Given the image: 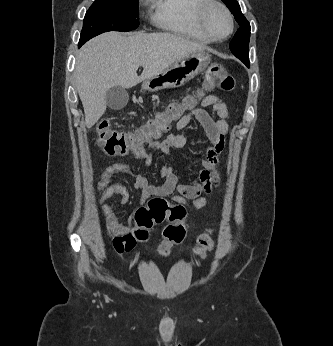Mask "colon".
Instances as JSON below:
<instances>
[{
    "label": "colon",
    "mask_w": 333,
    "mask_h": 346,
    "mask_svg": "<svg viewBox=\"0 0 333 346\" xmlns=\"http://www.w3.org/2000/svg\"><path fill=\"white\" fill-rule=\"evenodd\" d=\"M207 86L230 92L234 88V79L224 68L213 64L207 71ZM195 104L194 96H185L179 102L169 103L164 110L156 112L132 131L117 130L109 120H103L97 127L98 144L109 155H125L137 151L161 137L174 121L180 119L186 110L194 108ZM185 216L186 210L180 205H172L161 198L149 200L146 205L138 207L134 214L135 227L132 232L136 236V243L147 240L153 226L168 221L170 224L165 228L164 239L158 246L161 253L167 254L172 247L181 244L185 239ZM212 248V233H204L199 236L195 255L203 257Z\"/></svg>",
    "instance_id": "colon-1"
}]
</instances>
